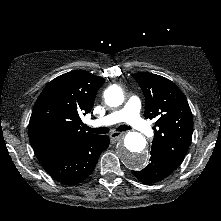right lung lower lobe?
<instances>
[{
    "mask_svg": "<svg viewBox=\"0 0 221 221\" xmlns=\"http://www.w3.org/2000/svg\"><path fill=\"white\" fill-rule=\"evenodd\" d=\"M109 145V137L96 135L76 143L35 149L44 169L55 180L75 185L94 170L100 153Z\"/></svg>",
    "mask_w": 221,
    "mask_h": 221,
    "instance_id": "right-lung-lower-lobe-1",
    "label": "right lung lower lobe"
}]
</instances>
